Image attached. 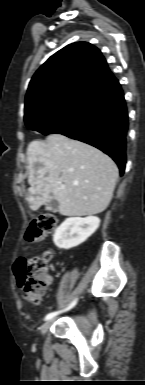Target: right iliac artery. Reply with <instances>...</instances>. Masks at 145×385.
Here are the masks:
<instances>
[{
	"instance_id": "1",
	"label": "right iliac artery",
	"mask_w": 145,
	"mask_h": 385,
	"mask_svg": "<svg viewBox=\"0 0 145 385\" xmlns=\"http://www.w3.org/2000/svg\"><path fill=\"white\" fill-rule=\"evenodd\" d=\"M76 302H77V299H75L66 309H64L63 311H67V310H69V309H71L72 307H74L75 306V304H76ZM63 311H57V312H51V313H49V314H47L46 315V317H45V320H50V319H52L53 317H55L56 315H58L59 313H61V312H63Z\"/></svg>"
}]
</instances>
